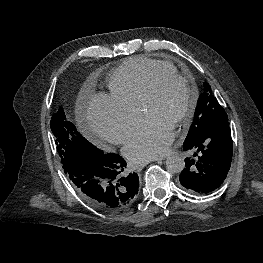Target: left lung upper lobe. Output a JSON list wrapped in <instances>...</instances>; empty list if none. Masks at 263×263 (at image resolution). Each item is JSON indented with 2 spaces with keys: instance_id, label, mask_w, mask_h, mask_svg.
<instances>
[{
  "instance_id": "left-lung-upper-lobe-1",
  "label": "left lung upper lobe",
  "mask_w": 263,
  "mask_h": 263,
  "mask_svg": "<svg viewBox=\"0 0 263 263\" xmlns=\"http://www.w3.org/2000/svg\"><path fill=\"white\" fill-rule=\"evenodd\" d=\"M220 120H228L224 108L213 96L211 87L204 83V92L199 96L195 109L194 120L187 134L186 140H193L200 136L212 124Z\"/></svg>"
}]
</instances>
